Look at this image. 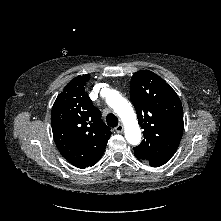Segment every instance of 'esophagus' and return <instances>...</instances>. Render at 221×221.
<instances>
[{"label": "esophagus", "mask_w": 221, "mask_h": 221, "mask_svg": "<svg viewBox=\"0 0 221 221\" xmlns=\"http://www.w3.org/2000/svg\"><path fill=\"white\" fill-rule=\"evenodd\" d=\"M123 129H124L123 125H122V124H119V125L115 128V131H116L117 133H122V132H123Z\"/></svg>", "instance_id": "34e87169"}]
</instances>
